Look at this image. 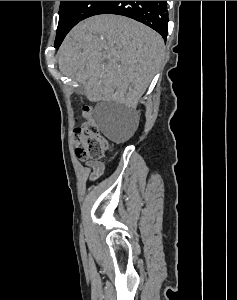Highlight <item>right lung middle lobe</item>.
<instances>
[{"instance_id":"obj_1","label":"right lung middle lobe","mask_w":237,"mask_h":300,"mask_svg":"<svg viewBox=\"0 0 237 300\" xmlns=\"http://www.w3.org/2000/svg\"><path fill=\"white\" fill-rule=\"evenodd\" d=\"M107 3L108 1H61L55 47H58L62 43L67 33L78 22L96 15Z\"/></svg>"}]
</instances>
